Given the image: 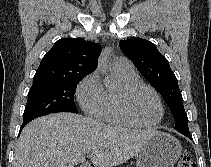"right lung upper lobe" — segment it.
I'll list each match as a JSON object with an SVG mask.
<instances>
[{
  "instance_id": "right-lung-upper-lobe-1",
  "label": "right lung upper lobe",
  "mask_w": 211,
  "mask_h": 167,
  "mask_svg": "<svg viewBox=\"0 0 211 167\" xmlns=\"http://www.w3.org/2000/svg\"><path fill=\"white\" fill-rule=\"evenodd\" d=\"M100 52L99 44L82 38L60 39L42 58L33 83L85 77L96 69Z\"/></svg>"
}]
</instances>
